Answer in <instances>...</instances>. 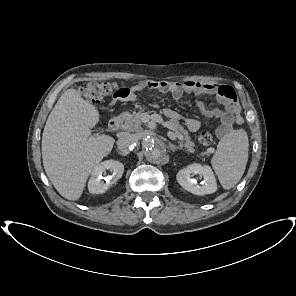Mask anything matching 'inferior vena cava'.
I'll use <instances>...</instances> for the list:
<instances>
[{
    "label": "inferior vena cava",
    "instance_id": "inferior-vena-cava-1",
    "mask_svg": "<svg viewBox=\"0 0 296 296\" xmlns=\"http://www.w3.org/2000/svg\"><path fill=\"white\" fill-rule=\"evenodd\" d=\"M135 137L133 135H125L118 139L117 147L118 149H125L130 147L135 142Z\"/></svg>",
    "mask_w": 296,
    "mask_h": 296
}]
</instances>
